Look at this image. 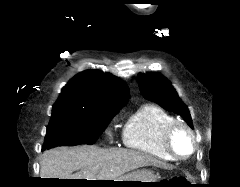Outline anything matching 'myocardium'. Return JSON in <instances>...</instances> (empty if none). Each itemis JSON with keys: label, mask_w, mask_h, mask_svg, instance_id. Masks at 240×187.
<instances>
[{"label": "myocardium", "mask_w": 240, "mask_h": 187, "mask_svg": "<svg viewBox=\"0 0 240 187\" xmlns=\"http://www.w3.org/2000/svg\"><path fill=\"white\" fill-rule=\"evenodd\" d=\"M180 134L185 135L189 142V151L186 153L179 151L176 146V137ZM164 145L176 160H186L190 158L197 149L193 130L187 124L180 121H174L167 126L164 133Z\"/></svg>", "instance_id": "1"}]
</instances>
